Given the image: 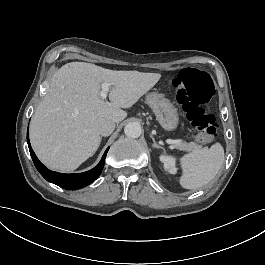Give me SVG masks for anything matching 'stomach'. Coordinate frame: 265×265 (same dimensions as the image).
Returning <instances> with one entry per match:
<instances>
[{
  "label": "stomach",
  "instance_id": "0dacf381",
  "mask_svg": "<svg viewBox=\"0 0 265 265\" xmlns=\"http://www.w3.org/2000/svg\"><path fill=\"white\" fill-rule=\"evenodd\" d=\"M147 103L156 115V120L166 131H174L179 124V113L174 105L159 93H150Z\"/></svg>",
  "mask_w": 265,
  "mask_h": 265
}]
</instances>
